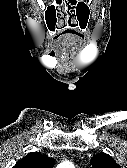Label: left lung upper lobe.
<instances>
[{
  "label": "left lung upper lobe",
  "mask_w": 127,
  "mask_h": 168,
  "mask_svg": "<svg viewBox=\"0 0 127 168\" xmlns=\"http://www.w3.org/2000/svg\"><path fill=\"white\" fill-rule=\"evenodd\" d=\"M92 168H121L111 156L99 153L92 157Z\"/></svg>",
  "instance_id": "left-lung-upper-lobe-1"
}]
</instances>
